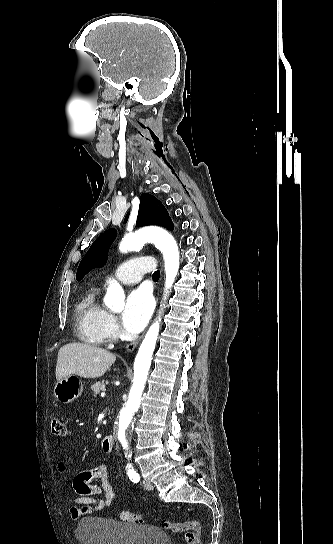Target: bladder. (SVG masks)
Here are the masks:
<instances>
[{
    "mask_svg": "<svg viewBox=\"0 0 333 544\" xmlns=\"http://www.w3.org/2000/svg\"><path fill=\"white\" fill-rule=\"evenodd\" d=\"M75 533L80 544H170L169 536L159 527L100 517L80 520Z\"/></svg>",
    "mask_w": 333,
    "mask_h": 544,
    "instance_id": "1",
    "label": "bladder"
}]
</instances>
